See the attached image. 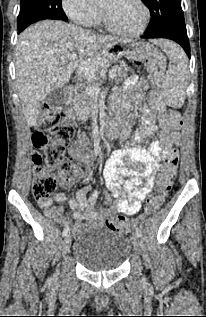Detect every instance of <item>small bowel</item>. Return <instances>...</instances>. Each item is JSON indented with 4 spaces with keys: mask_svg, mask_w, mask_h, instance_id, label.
I'll use <instances>...</instances> for the list:
<instances>
[{
    "mask_svg": "<svg viewBox=\"0 0 206 317\" xmlns=\"http://www.w3.org/2000/svg\"><path fill=\"white\" fill-rule=\"evenodd\" d=\"M122 96L116 102L118 121L122 124L121 138L127 139L132 123L139 118V129L136 139L151 138L148 149L126 148L117 151L108 162L104 177L106 186L113 194L115 200L105 197L107 208L96 206L99 192L89 185L76 194L75 199H69L61 192L53 198L38 201L43 213L58 222L61 226L69 227L71 219L64 215L60 204L67 203L73 212L74 219L78 222L73 227V233L79 234L84 229V223L103 224L109 217L116 213L135 215L141 208L142 201L150 194L154 186V174L159 169L162 161L177 152L181 137L176 131L164 128L161 124L165 112V104L161 98L158 87H149L148 82L136 75L129 76L123 86ZM147 94V102L145 96ZM121 108L126 109L123 116ZM158 119L162 129L156 124ZM80 145L75 142L71 148V155ZM75 180H60L61 186L70 190Z\"/></svg>",
    "mask_w": 206,
    "mask_h": 317,
    "instance_id": "c3829d8e",
    "label": "small bowel"
}]
</instances>
